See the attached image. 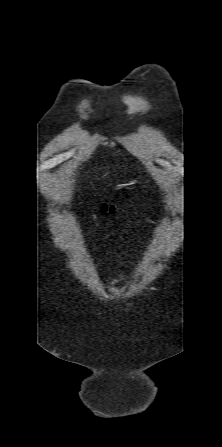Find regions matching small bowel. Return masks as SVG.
Returning a JSON list of instances; mask_svg holds the SVG:
<instances>
[{"label": "small bowel", "instance_id": "small-bowel-1", "mask_svg": "<svg viewBox=\"0 0 222 447\" xmlns=\"http://www.w3.org/2000/svg\"><path fill=\"white\" fill-rule=\"evenodd\" d=\"M128 281V278L123 274H118L116 277L111 279V282L114 284L125 283Z\"/></svg>", "mask_w": 222, "mask_h": 447}]
</instances>
